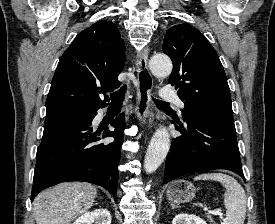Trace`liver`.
Instances as JSON below:
<instances>
[{
    "label": "liver",
    "instance_id": "6515ba94",
    "mask_svg": "<svg viewBox=\"0 0 275 224\" xmlns=\"http://www.w3.org/2000/svg\"><path fill=\"white\" fill-rule=\"evenodd\" d=\"M97 196V189L85 182L60 183L41 192L34 199L36 224H70L87 212Z\"/></svg>",
    "mask_w": 275,
    "mask_h": 224
}]
</instances>
